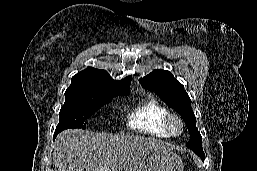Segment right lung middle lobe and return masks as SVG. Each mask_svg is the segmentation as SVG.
Here are the masks:
<instances>
[{"label": "right lung middle lobe", "mask_w": 257, "mask_h": 171, "mask_svg": "<svg viewBox=\"0 0 257 171\" xmlns=\"http://www.w3.org/2000/svg\"><path fill=\"white\" fill-rule=\"evenodd\" d=\"M117 95L126 94L96 89L68 88L56 130L61 132L70 128L85 129L87 118L103 105L109 104Z\"/></svg>", "instance_id": "obj_1"}]
</instances>
